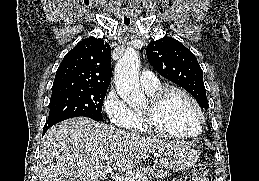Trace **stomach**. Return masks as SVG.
<instances>
[{
	"label": "stomach",
	"instance_id": "obj_1",
	"mask_svg": "<svg viewBox=\"0 0 259 181\" xmlns=\"http://www.w3.org/2000/svg\"><path fill=\"white\" fill-rule=\"evenodd\" d=\"M158 164L164 168L179 172L191 168L197 161V152L191 147L174 142L156 155Z\"/></svg>",
	"mask_w": 259,
	"mask_h": 181
}]
</instances>
